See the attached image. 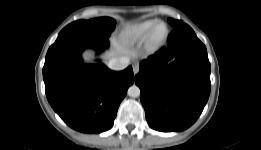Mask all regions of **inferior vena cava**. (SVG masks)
I'll use <instances>...</instances> for the list:
<instances>
[{
  "mask_svg": "<svg viewBox=\"0 0 261 150\" xmlns=\"http://www.w3.org/2000/svg\"><path fill=\"white\" fill-rule=\"evenodd\" d=\"M129 60V57L126 56L113 58L108 62V67L116 71L123 70L128 66Z\"/></svg>",
  "mask_w": 261,
  "mask_h": 150,
  "instance_id": "inferior-vena-cava-1",
  "label": "inferior vena cava"
}]
</instances>
